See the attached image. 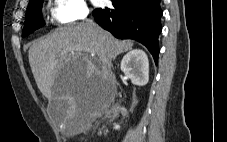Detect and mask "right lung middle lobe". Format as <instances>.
<instances>
[{
    "label": "right lung middle lobe",
    "mask_w": 227,
    "mask_h": 142,
    "mask_svg": "<svg viewBox=\"0 0 227 142\" xmlns=\"http://www.w3.org/2000/svg\"><path fill=\"white\" fill-rule=\"evenodd\" d=\"M43 0L29 2L22 37H25L45 25L41 15Z\"/></svg>",
    "instance_id": "dd1d6c3e"
}]
</instances>
